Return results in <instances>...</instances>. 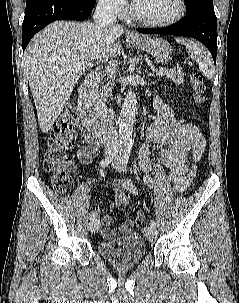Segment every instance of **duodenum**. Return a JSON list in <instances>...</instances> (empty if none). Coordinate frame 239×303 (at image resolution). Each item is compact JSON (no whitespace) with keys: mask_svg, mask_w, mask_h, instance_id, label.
<instances>
[{"mask_svg":"<svg viewBox=\"0 0 239 303\" xmlns=\"http://www.w3.org/2000/svg\"><path fill=\"white\" fill-rule=\"evenodd\" d=\"M99 81L96 72L90 73L79 88L78 106L83 127L95 137L101 138L108 131V117L101 114L94 106L93 92Z\"/></svg>","mask_w":239,"mask_h":303,"instance_id":"obj_1","label":"duodenum"}]
</instances>
